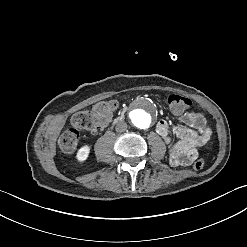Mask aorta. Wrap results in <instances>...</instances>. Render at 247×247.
<instances>
[{
    "label": "aorta",
    "mask_w": 247,
    "mask_h": 247,
    "mask_svg": "<svg viewBox=\"0 0 247 247\" xmlns=\"http://www.w3.org/2000/svg\"><path fill=\"white\" fill-rule=\"evenodd\" d=\"M133 122L138 128L145 129L149 127L150 118L146 114L139 113L138 116L133 118Z\"/></svg>",
    "instance_id": "762f6f07"
}]
</instances>
